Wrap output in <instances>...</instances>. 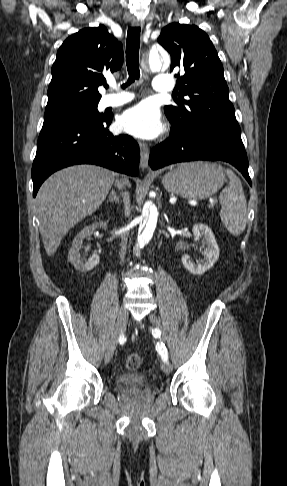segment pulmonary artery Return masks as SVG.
<instances>
[{"instance_id": "pulmonary-artery-1", "label": "pulmonary artery", "mask_w": 287, "mask_h": 486, "mask_svg": "<svg viewBox=\"0 0 287 486\" xmlns=\"http://www.w3.org/2000/svg\"><path fill=\"white\" fill-rule=\"evenodd\" d=\"M175 86L174 80L169 75H158L154 79L153 87L157 92L167 93L173 91ZM117 88L116 86H113ZM133 96L128 93H118L105 95L102 104L106 107H115L131 101Z\"/></svg>"}]
</instances>
